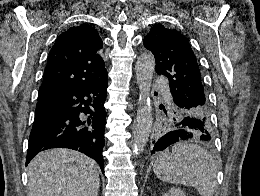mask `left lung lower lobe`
I'll use <instances>...</instances> for the list:
<instances>
[{
  "instance_id": "0a47b994",
  "label": "left lung lower lobe",
  "mask_w": 260,
  "mask_h": 196,
  "mask_svg": "<svg viewBox=\"0 0 260 196\" xmlns=\"http://www.w3.org/2000/svg\"><path fill=\"white\" fill-rule=\"evenodd\" d=\"M202 128L203 124L199 122L192 120L182 121L175 130L168 132L155 143L153 153L164 150L169 145L180 140H187L191 138L194 131L201 130Z\"/></svg>"
}]
</instances>
